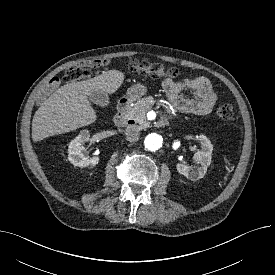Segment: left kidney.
Returning a JSON list of instances; mask_svg holds the SVG:
<instances>
[{
    "mask_svg": "<svg viewBox=\"0 0 275 275\" xmlns=\"http://www.w3.org/2000/svg\"><path fill=\"white\" fill-rule=\"evenodd\" d=\"M199 140L201 142V149L196 152L193 158L197 166H188L179 163L176 165V169L181 175L193 181L203 178L207 168L211 164L213 145L205 135H200Z\"/></svg>",
    "mask_w": 275,
    "mask_h": 275,
    "instance_id": "obj_1",
    "label": "left kidney"
}]
</instances>
